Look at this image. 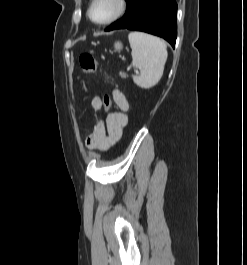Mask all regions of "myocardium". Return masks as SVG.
I'll use <instances>...</instances> for the list:
<instances>
[{"instance_id": "obj_1", "label": "myocardium", "mask_w": 247, "mask_h": 265, "mask_svg": "<svg viewBox=\"0 0 247 265\" xmlns=\"http://www.w3.org/2000/svg\"><path fill=\"white\" fill-rule=\"evenodd\" d=\"M97 2H98V0H91L89 7H88L87 14H88V18L90 19V21L96 25H99V26L110 25V24L118 21L128 12V9H129V1L128 0H113L114 4L116 6V9L112 13V15L105 20L97 21L93 18V15H92L93 8Z\"/></svg>"}]
</instances>
